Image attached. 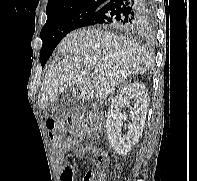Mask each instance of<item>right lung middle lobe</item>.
Segmentation results:
<instances>
[{"label": "right lung middle lobe", "mask_w": 197, "mask_h": 181, "mask_svg": "<svg viewBox=\"0 0 197 181\" xmlns=\"http://www.w3.org/2000/svg\"><path fill=\"white\" fill-rule=\"evenodd\" d=\"M100 7L98 4H88L47 15V21L40 34L43 42L40 52L42 67H44L59 42L69 32L79 28V25Z\"/></svg>", "instance_id": "obj_1"}]
</instances>
